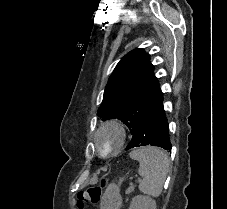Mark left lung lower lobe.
Listing matches in <instances>:
<instances>
[{"mask_svg": "<svg viewBox=\"0 0 227 209\" xmlns=\"http://www.w3.org/2000/svg\"><path fill=\"white\" fill-rule=\"evenodd\" d=\"M163 94L156 99L153 105L142 116L132 141L126 150L152 145L170 150L172 145L169 140L168 123L163 109Z\"/></svg>", "mask_w": 227, "mask_h": 209, "instance_id": "1", "label": "left lung lower lobe"}]
</instances>
